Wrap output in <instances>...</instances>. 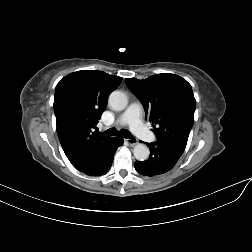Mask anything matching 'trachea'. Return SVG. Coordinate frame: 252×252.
<instances>
[{
  "instance_id": "obj_1",
  "label": "trachea",
  "mask_w": 252,
  "mask_h": 252,
  "mask_svg": "<svg viewBox=\"0 0 252 252\" xmlns=\"http://www.w3.org/2000/svg\"><path fill=\"white\" fill-rule=\"evenodd\" d=\"M118 134L122 138H132V135L127 130H120L119 132H117L116 129L110 128L104 132V135L107 136H116Z\"/></svg>"
}]
</instances>
